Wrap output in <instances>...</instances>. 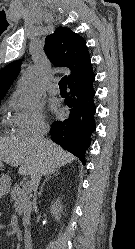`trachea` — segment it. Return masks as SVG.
Segmentation results:
<instances>
[{"label": "trachea", "mask_w": 135, "mask_h": 249, "mask_svg": "<svg viewBox=\"0 0 135 249\" xmlns=\"http://www.w3.org/2000/svg\"><path fill=\"white\" fill-rule=\"evenodd\" d=\"M59 86L61 89H66L67 88V77L64 76L60 82H59Z\"/></svg>", "instance_id": "obj_1"}]
</instances>
